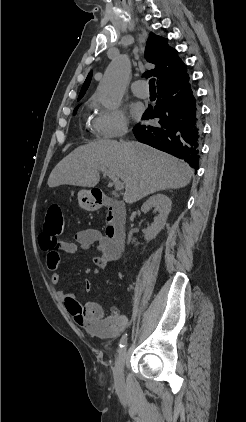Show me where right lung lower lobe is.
<instances>
[{"mask_svg":"<svg viewBox=\"0 0 246 422\" xmlns=\"http://www.w3.org/2000/svg\"><path fill=\"white\" fill-rule=\"evenodd\" d=\"M157 90L156 106L148 108L143 119L159 118L158 124L148 127L138 124L133 133L139 142L183 159L197 171L201 124L189 75Z\"/></svg>","mask_w":246,"mask_h":422,"instance_id":"1","label":"right lung lower lobe"}]
</instances>
